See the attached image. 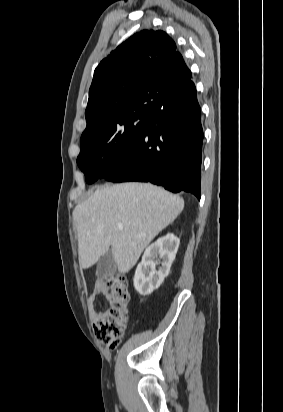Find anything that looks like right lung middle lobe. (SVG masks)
<instances>
[{
	"label": "right lung middle lobe",
	"instance_id": "dd1d6c3e",
	"mask_svg": "<svg viewBox=\"0 0 283 412\" xmlns=\"http://www.w3.org/2000/svg\"><path fill=\"white\" fill-rule=\"evenodd\" d=\"M162 104L146 101L133 105L105 121L96 131L81 137L77 164L88 184L94 183L109 165L128 152L150 116Z\"/></svg>",
	"mask_w": 283,
	"mask_h": 412
}]
</instances>
